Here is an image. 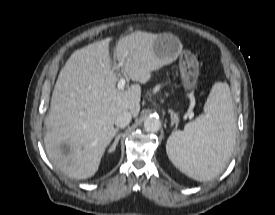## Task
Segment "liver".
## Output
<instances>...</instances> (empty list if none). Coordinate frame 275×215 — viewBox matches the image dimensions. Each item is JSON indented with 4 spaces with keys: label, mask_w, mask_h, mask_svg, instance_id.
<instances>
[{
    "label": "liver",
    "mask_w": 275,
    "mask_h": 215,
    "mask_svg": "<svg viewBox=\"0 0 275 215\" xmlns=\"http://www.w3.org/2000/svg\"><path fill=\"white\" fill-rule=\"evenodd\" d=\"M157 37L136 31L116 42L114 57L133 81L148 82L153 71L176 59L159 58L153 49ZM109 43L105 39L76 50L61 69L52 94L45 149L53 165L71 178L93 176L118 132L115 118L123 111L137 117L140 111L141 87H116L119 78L111 66Z\"/></svg>",
    "instance_id": "liver-1"
}]
</instances>
